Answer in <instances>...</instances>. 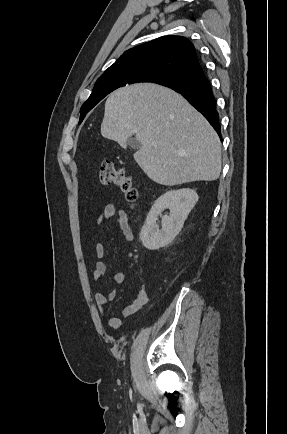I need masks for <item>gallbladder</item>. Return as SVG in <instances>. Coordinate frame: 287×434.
<instances>
[{
  "mask_svg": "<svg viewBox=\"0 0 287 434\" xmlns=\"http://www.w3.org/2000/svg\"><path fill=\"white\" fill-rule=\"evenodd\" d=\"M127 144L133 149H140V147H141L140 142L137 141V139H135V138H129L127 141Z\"/></svg>",
  "mask_w": 287,
  "mask_h": 434,
  "instance_id": "gallbladder-1",
  "label": "gallbladder"
}]
</instances>
